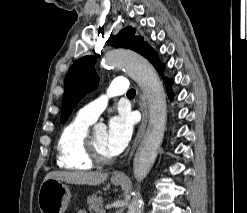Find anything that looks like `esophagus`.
<instances>
[{
  "label": "esophagus",
  "instance_id": "34e87169",
  "mask_svg": "<svg viewBox=\"0 0 247 213\" xmlns=\"http://www.w3.org/2000/svg\"><path fill=\"white\" fill-rule=\"evenodd\" d=\"M139 109L141 111V123H140V126H139V129H138V132H137V135H136V138L134 140V143H133V146H132V149H131V152H130V156H132L133 152L135 151L136 147L138 146L139 142L141 141L144 133H145V130H146V126H147V120H148V111H147V105H146V101H145V98L144 96L139 93ZM113 177L114 178H124L125 175L123 172H115L113 174Z\"/></svg>",
  "mask_w": 247,
  "mask_h": 213
}]
</instances>
